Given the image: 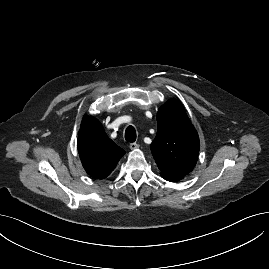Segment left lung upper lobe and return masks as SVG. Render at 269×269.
<instances>
[{"instance_id":"obj_1","label":"left lung upper lobe","mask_w":269,"mask_h":269,"mask_svg":"<svg viewBox=\"0 0 269 269\" xmlns=\"http://www.w3.org/2000/svg\"><path fill=\"white\" fill-rule=\"evenodd\" d=\"M157 124L151 151L161 176L183 178L196 164L200 147L198 134L176 99L160 107Z\"/></svg>"}]
</instances>
